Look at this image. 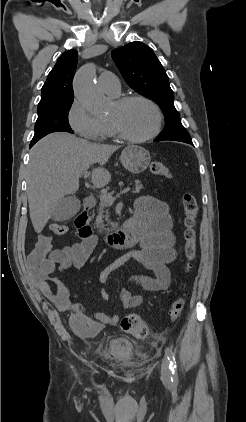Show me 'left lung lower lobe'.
<instances>
[{"label": "left lung lower lobe", "mask_w": 246, "mask_h": 422, "mask_svg": "<svg viewBox=\"0 0 246 422\" xmlns=\"http://www.w3.org/2000/svg\"><path fill=\"white\" fill-rule=\"evenodd\" d=\"M154 141H158V140H157V139H155ZM182 142H185V143H188V144L193 145L192 140H186V141H182Z\"/></svg>", "instance_id": "left-lung-lower-lobe-1"}]
</instances>
